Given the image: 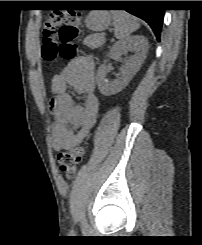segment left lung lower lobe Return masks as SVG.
Wrapping results in <instances>:
<instances>
[{"mask_svg": "<svg viewBox=\"0 0 202 245\" xmlns=\"http://www.w3.org/2000/svg\"><path fill=\"white\" fill-rule=\"evenodd\" d=\"M107 6L126 7V11L146 21L159 40L163 24L164 10L149 8L152 1H103Z\"/></svg>", "mask_w": 202, "mask_h": 245, "instance_id": "1", "label": "left lung lower lobe"}]
</instances>
